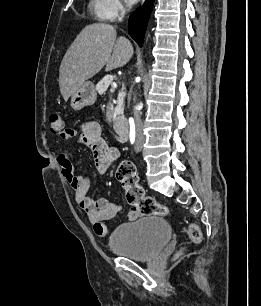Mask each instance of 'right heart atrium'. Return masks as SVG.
<instances>
[{"mask_svg": "<svg viewBox=\"0 0 261 306\" xmlns=\"http://www.w3.org/2000/svg\"><path fill=\"white\" fill-rule=\"evenodd\" d=\"M104 8L103 14L104 18L108 20H115L124 11V5L122 0H103Z\"/></svg>", "mask_w": 261, "mask_h": 306, "instance_id": "1", "label": "right heart atrium"}]
</instances>
